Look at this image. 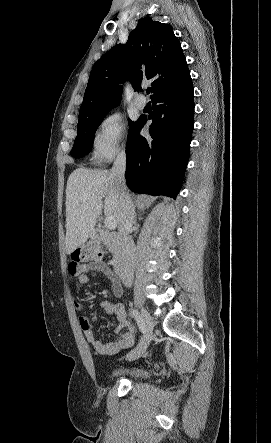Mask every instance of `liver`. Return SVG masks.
I'll return each mask as SVG.
<instances>
[{"instance_id": "obj_1", "label": "liver", "mask_w": 271, "mask_h": 443, "mask_svg": "<svg viewBox=\"0 0 271 443\" xmlns=\"http://www.w3.org/2000/svg\"><path fill=\"white\" fill-rule=\"evenodd\" d=\"M66 253H72L91 237L97 218L104 210L119 227L122 216L120 194L108 170H89L79 166L70 174L66 186Z\"/></svg>"}]
</instances>
